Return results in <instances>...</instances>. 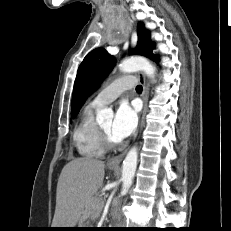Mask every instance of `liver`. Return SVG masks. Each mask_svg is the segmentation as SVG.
Wrapping results in <instances>:
<instances>
[{"label":"liver","instance_id":"6515ba94","mask_svg":"<svg viewBox=\"0 0 231 231\" xmlns=\"http://www.w3.org/2000/svg\"><path fill=\"white\" fill-rule=\"evenodd\" d=\"M105 163L81 157L64 166L58 179L52 228H73L91 215L90 202L102 186Z\"/></svg>","mask_w":231,"mask_h":231}]
</instances>
